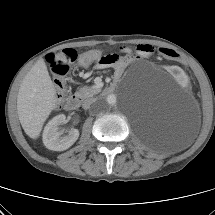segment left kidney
I'll use <instances>...</instances> for the list:
<instances>
[{"instance_id": "5707ae66", "label": "left kidney", "mask_w": 215, "mask_h": 215, "mask_svg": "<svg viewBox=\"0 0 215 215\" xmlns=\"http://www.w3.org/2000/svg\"><path fill=\"white\" fill-rule=\"evenodd\" d=\"M169 72H170L171 75H173V76L178 78V82L181 85L186 84L188 82V80H189L188 73L185 72V71L180 70L179 67L176 66V65L171 66L170 69H169Z\"/></svg>"}]
</instances>
